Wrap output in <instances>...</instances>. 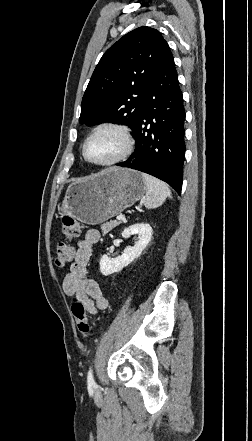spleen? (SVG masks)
I'll list each match as a JSON object with an SVG mask.
<instances>
[{"instance_id":"1","label":"spleen","mask_w":252,"mask_h":441,"mask_svg":"<svg viewBox=\"0 0 252 441\" xmlns=\"http://www.w3.org/2000/svg\"><path fill=\"white\" fill-rule=\"evenodd\" d=\"M142 177L146 184V196L144 198V206L146 208H157L163 204L166 198H172L167 184L145 173H142Z\"/></svg>"}]
</instances>
